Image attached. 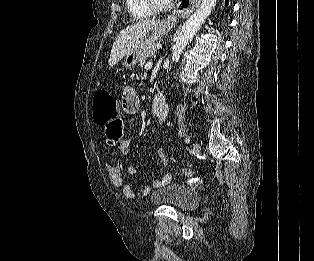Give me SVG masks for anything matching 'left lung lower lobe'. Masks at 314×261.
<instances>
[{
  "instance_id": "1",
  "label": "left lung lower lobe",
  "mask_w": 314,
  "mask_h": 261,
  "mask_svg": "<svg viewBox=\"0 0 314 261\" xmlns=\"http://www.w3.org/2000/svg\"><path fill=\"white\" fill-rule=\"evenodd\" d=\"M229 0H225V6H228Z\"/></svg>"
}]
</instances>
